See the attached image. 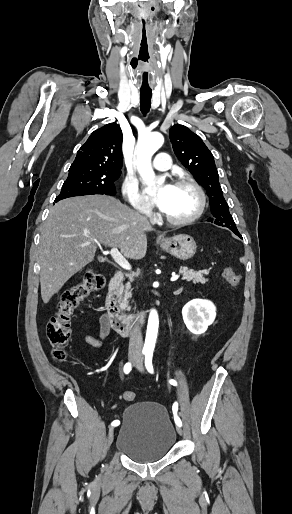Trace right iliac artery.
Returning <instances> with one entry per match:
<instances>
[{
  "label": "right iliac artery",
  "instance_id": "82829eb1",
  "mask_svg": "<svg viewBox=\"0 0 292 514\" xmlns=\"http://www.w3.org/2000/svg\"><path fill=\"white\" fill-rule=\"evenodd\" d=\"M131 369H132V364H131L130 362H128V363H126V364L124 365L123 371H124V373H125V374H129V373H130V371H131ZM119 424H120V421H119V420H114V421L111 423V425H112V426H118Z\"/></svg>",
  "mask_w": 292,
  "mask_h": 514
}]
</instances>
